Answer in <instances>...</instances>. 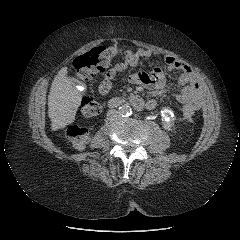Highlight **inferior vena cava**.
Here are the masks:
<instances>
[{"label":"inferior vena cava","mask_w":240,"mask_h":240,"mask_svg":"<svg viewBox=\"0 0 240 240\" xmlns=\"http://www.w3.org/2000/svg\"><path fill=\"white\" fill-rule=\"evenodd\" d=\"M119 117H120L119 111L116 109H111L107 112V119L109 121H116L119 119Z\"/></svg>","instance_id":"602c4592"}]
</instances>
